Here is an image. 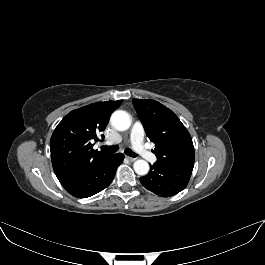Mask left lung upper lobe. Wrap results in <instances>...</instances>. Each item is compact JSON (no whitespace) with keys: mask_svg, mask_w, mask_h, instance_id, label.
<instances>
[{"mask_svg":"<svg viewBox=\"0 0 265 265\" xmlns=\"http://www.w3.org/2000/svg\"><path fill=\"white\" fill-rule=\"evenodd\" d=\"M159 164H194L192 138L176 114L155 100L133 99Z\"/></svg>","mask_w":265,"mask_h":265,"instance_id":"obj_1","label":"left lung upper lobe"}]
</instances>
